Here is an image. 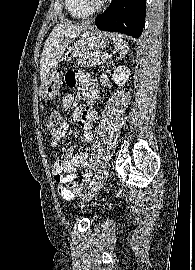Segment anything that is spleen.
<instances>
[{
	"label": "spleen",
	"instance_id": "spleen-1",
	"mask_svg": "<svg viewBox=\"0 0 195 270\" xmlns=\"http://www.w3.org/2000/svg\"><path fill=\"white\" fill-rule=\"evenodd\" d=\"M113 44L116 51L119 52L120 55H125L128 53L129 46L128 43L122 39L120 35L113 36Z\"/></svg>",
	"mask_w": 195,
	"mask_h": 270
}]
</instances>
